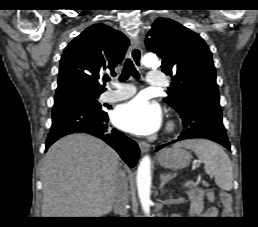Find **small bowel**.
<instances>
[{"mask_svg": "<svg viewBox=\"0 0 258 227\" xmlns=\"http://www.w3.org/2000/svg\"><path fill=\"white\" fill-rule=\"evenodd\" d=\"M207 198H208V200H209L210 202H214V195H213V193L209 192V193L207 194ZM204 215H205L206 217L213 218V217H216V216L218 215V211H217L216 207H210V208H208V209L205 211Z\"/></svg>", "mask_w": 258, "mask_h": 227, "instance_id": "1", "label": "small bowel"}]
</instances>
